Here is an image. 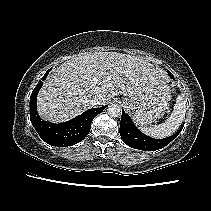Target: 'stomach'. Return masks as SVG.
I'll return each instance as SVG.
<instances>
[{
  "instance_id": "0dacf381",
  "label": "stomach",
  "mask_w": 211,
  "mask_h": 211,
  "mask_svg": "<svg viewBox=\"0 0 211 211\" xmlns=\"http://www.w3.org/2000/svg\"><path fill=\"white\" fill-rule=\"evenodd\" d=\"M170 89L159 90L154 94L135 101L127 96L122 99L124 106L133 113L137 125L147 126L161 118L169 107Z\"/></svg>"
}]
</instances>
